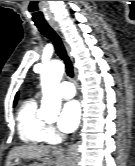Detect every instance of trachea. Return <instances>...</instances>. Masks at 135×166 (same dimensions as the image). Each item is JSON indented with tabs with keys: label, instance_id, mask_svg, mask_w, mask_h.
Segmentation results:
<instances>
[{
	"label": "trachea",
	"instance_id": "3493384b",
	"mask_svg": "<svg viewBox=\"0 0 135 166\" xmlns=\"http://www.w3.org/2000/svg\"><path fill=\"white\" fill-rule=\"evenodd\" d=\"M38 30L48 39L53 42L57 55L64 61L66 73L68 76L73 77V66L70 58L67 55L63 42L60 36L51 28L48 23H37Z\"/></svg>",
	"mask_w": 135,
	"mask_h": 166
}]
</instances>
